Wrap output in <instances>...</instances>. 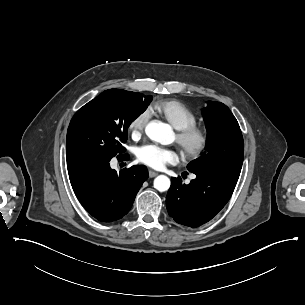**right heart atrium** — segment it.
<instances>
[{
	"label": "right heart atrium",
	"instance_id": "d8ad5b80",
	"mask_svg": "<svg viewBox=\"0 0 305 305\" xmlns=\"http://www.w3.org/2000/svg\"><path fill=\"white\" fill-rule=\"evenodd\" d=\"M148 117L149 111L145 109L131 119L128 130L132 137H138L141 134Z\"/></svg>",
	"mask_w": 305,
	"mask_h": 305
}]
</instances>
